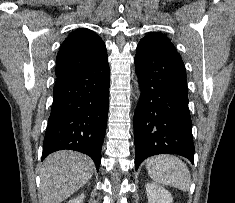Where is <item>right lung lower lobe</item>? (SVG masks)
Returning <instances> with one entry per match:
<instances>
[{
	"label": "right lung lower lobe",
	"mask_w": 235,
	"mask_h": 203,
	"mask_svg": "<svg viewBox=\"0 0 235 203\" xmlns=\"http://www.w3.org/2000/svg\"><path fill=\"white\" fill-rule=\"evenodd\" d=\"M109 81L106 56L81 72L55 82L42 160L52 152L71 149L89 155L99 170L108 114Z\"/></svg>",
	"instance_id": "obj_1"
}]
</instances>
